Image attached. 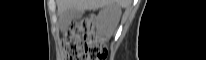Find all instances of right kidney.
Listing matches in <instances>:
<instances>
[{
  "mask_svg": "<svg viewBox=\"0 0 206 60\" xmlns=\"http://www.w3.org/2000/svg\"><path fill=\"white\" fill-rule=\"evenodd\" d=\"M121 10L116 4L105 7L98 16V27L100 35L109 39L120 19Z\"/></svg>",
  "mask_w": 206,
  "mask_h": 60,
  "instance_id": "right-kidney-1",
  "label": "right kidney"
}]
</instances>
